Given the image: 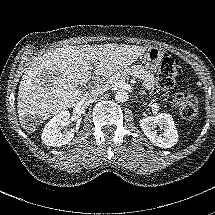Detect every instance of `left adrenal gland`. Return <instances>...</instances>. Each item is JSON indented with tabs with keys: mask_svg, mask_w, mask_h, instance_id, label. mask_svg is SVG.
I'll list each match as a JSON object with an SVG mask.
<instances>
[{
	"mask_svg": "<svg viewBox=\"0 0 215 215\" xmlns=\"http://www.w3.org/2000/svg\"><path fill=\"white\" fill-rule=\"evenodd\" d=\"M139 95H144V92H143V91H140V92H139Z\"/></svg>",
	"mask_w": 215,
	"mask_h": 215,
	"instance_id": "1",
	"label": "left adrenal gland"
}]
</instances>
